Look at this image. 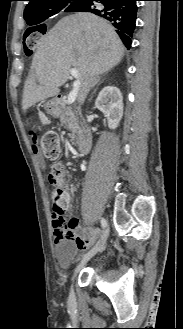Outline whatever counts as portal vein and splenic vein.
Here are the masks:
<instances>
[{
  "instance_id": "portal-vein-and-splenic-vein-1",
  "label": "portal vein and splenic vein",
  "mask_w": 183,
  "mask_h": 329,
  "mask_svg": "<svg viewBox=\"0 0 183 329\" xmlns=\"http://www.w3.org/2000/svg\"><path fill=\"white\" fill-rule=\"evenodd\" d=\"M70 74L76 78V81L73 83V89L68 95V99H67L68 104H72L76 100V97L78 95L81 86L79 71L75 68H71Z\"/></svg>"
}]
</instances>
